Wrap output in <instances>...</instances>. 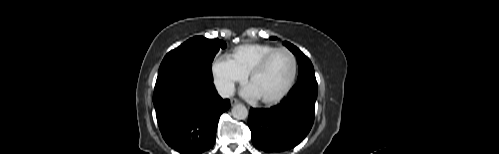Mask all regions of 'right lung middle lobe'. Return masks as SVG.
Instances as JSON below:
<instances>
[{
	"mask_svg": "<svg viewBox=\"0 0 499 154\" xmlns=\"http://www.w3.org/2000/svg\"><path fill=\"white\" fill-rule=\"evenodd\" d=\"M225 47V42L219 39L211 40L202 36L190 38L164 57L156 82L190 72H203L212 76V61L220 48Z\"/></svg>",
	"mask_w": 499,
	"mask_h": 154,
	"instance_id": "1",
	"label": "right lung middle lobe"
}]
</instances>
